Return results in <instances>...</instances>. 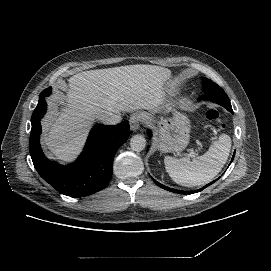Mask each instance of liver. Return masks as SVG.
<instances>
[{
	"label": "liver",
	"instance_id": "obj_1",
	"mask_svg": "<svg viewBox=\"0 0 271 271\" xmlns=\"http://www.w3.org/2000/svg\"><path fill=\"white\" fill-rule=\"evenodd\" d=\"M169 69L126 65L83 71L63 83L54 110L44 119L42 144L58 159L73 161L98 115L145 109L158 112L164 101ZM60 106V107H59Z\"/></svg>",
	"mask_w": 271,
	"mask_h": 271
}]
</instances>
